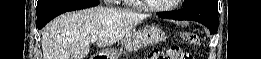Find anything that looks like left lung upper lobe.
<instances>
[{
	"label": "left lung upper lobe",
	"instance_id": "5c2ea615",
	"mask_svg": "<svg viewBox=\"0 0 261 59\" xmlns=\"http://www.w3.org/2000/svg\"><path fill=\"white\" fill-rule=\"evenodd\" d=\"M196 6L218 9L217 0H184L183 8L196 7Z\"/></svg>",
	"mask_w": 261,
	"mask_h": 59
}]
</instances>
